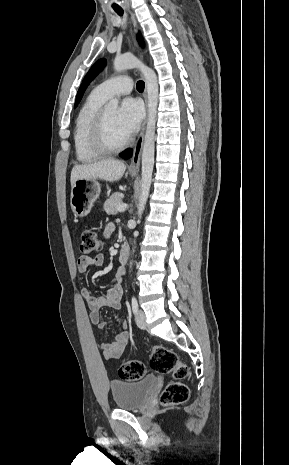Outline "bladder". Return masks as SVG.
<instances>
[{"label": "bladder", "instance_id": "1", "mask_svg": "<svg viewBox=\"0 0 289 465\" xmlns=\"http://www.w3.org/2000/svg\"><path fill=\"white\" fill-rule=\"evenodd\" d=\"M157 384V377L149 375L139 381H112L110 391L114 404L121 410L143 407Z\"/></svg>", "mask_w": 289, "mask_h": 465}]
</instances>
